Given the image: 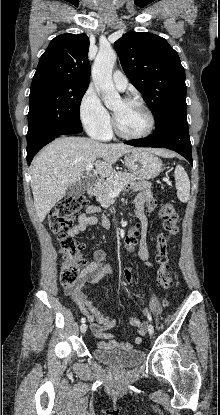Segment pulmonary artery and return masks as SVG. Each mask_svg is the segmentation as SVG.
Masks as SVG:
<instances>
[{
	"label": "pulmonary artery",
	"instance_id": "obj_1",
	"mask_svg": "<svg viewBox=\"0 0 220 415\" xmlns=\"http://www.w3.org/2000/svg\"><path fill=\"white\" fill-rule=\"evenodd\" d=\"M113 82L116 89L119 91H124L128 86L127 77L120 71H115L113 73ZM102 140H106V138Z\"/></svg>",
	"mask_w": 220,
	"mask_h": 415
}]
</instances>
